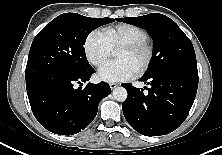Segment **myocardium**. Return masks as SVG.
I'll return each instance as SVG.
<instances>
[{"instance_id": "myocardium-1", "label": "myocardium", "mask_w": 222, "mask_h": 155, "mask_svg": "<svg viewBox=\"0 0 222 155\" xmlns=\"http://www.w3.org/2000/svg\"><path fill=\"white\" fill-rule=\"evenodd\" d=\"M118 50H125L128 52H139V51L145 52L146 54L145 60L143 64L136 70L137 76L145 74L152 65L154 59V48L148 40L128 43L120 46Z\"/></svg>"}]
</instances>
